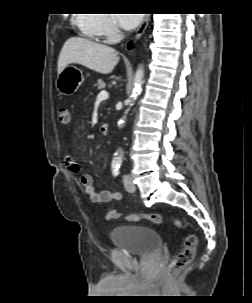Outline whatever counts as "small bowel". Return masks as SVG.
<instances>
[{"label": "small bowel", "mask_w": 252, "mask_h": 303, "mask_svg": "<svg viewBox=\"0 0 252 303\" xmlns=\"http://www.w3.org/2000/svg\"><path fill=\"white\" fill-rule=\"evenodd\" d=\"M65 165L70 173L79 175L80 184L83 190L89 196L92 203L96 205H104L110 201H116L121 198V195L118 192H112L109 190H102L97 192L94 188V183L91 175L81 173L79 164L73 153L66 155Z\"/></svg>", "instance_id": "1"}]
</instances>
